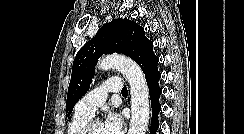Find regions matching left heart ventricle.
<instances>
[{
  "label": "left heart ventricle",
  "mask_w": 244,
  "mask_h": 134,
  "mask_svg": "<svg viewBox=\"0 0 244 134\" xmlns=\"http://www.w3.org/2000/svg\"><path fill=\"white\" fill-rule=\"evenodd\" d=\"M92 134H105L104 133V129H103V125L101 123L100 124H96L93 127Z\"/></svg>",
  "instance_id": "left-heart-ventricle-1"
}]
</instances>
